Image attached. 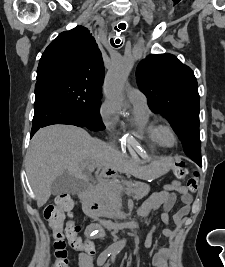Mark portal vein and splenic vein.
<instances>
[{"label":"portal vein and splenic vein","instance_id":"18ae733b","mask_svg":"<svg viewBox=\"0 0 225 267\" xmlns=\"http://www.w3.org/2000/svg\"><path fill=\"white\" fill-rule=\"evenodd\" d=\"M81 165H82V167H85L86 163H82ZM97 167H99V165H97Z\"/></svg>","mask_w":225,"mask_h":267}]
</instances>
